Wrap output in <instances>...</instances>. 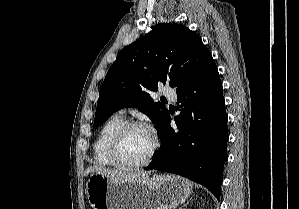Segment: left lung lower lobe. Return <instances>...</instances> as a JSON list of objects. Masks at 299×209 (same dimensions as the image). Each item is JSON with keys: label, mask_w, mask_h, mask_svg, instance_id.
Instances as JSON below:
<instances>
[{"label": "left lung lower lobe", "mask_w": 299, "mask_h": 209, "mask_svg": "<svg viewBox=\"0 0 299 209\" xmlns=\"http://www.w3.org/2000/svg\"><path fill=\"white\" fill-rule=\"evenodd\" d=\"M176 92L181 103V113L174 118L177 128H171L168 113L158 130L161 149L145 169L189 178L219 200L229 137L222 83L213 58Z\"/></svg>", "instance_id": "1"}]
</instances>
